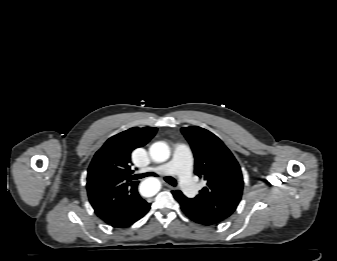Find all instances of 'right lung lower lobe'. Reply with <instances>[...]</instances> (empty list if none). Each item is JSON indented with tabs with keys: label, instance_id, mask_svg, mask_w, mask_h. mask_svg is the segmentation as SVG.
Segmentation results:
<instances>
[{
	"label": "right lung lower lobe",
	"instance_id": "right-lung-lower-lobe-1",
	"mask_svg": "<svg viewBox=\"0 0 337 261\" xmlns=\"http://www.w3.org/2000/svg\"><path fill=\"white\" fill-rule=\"evenodd\" d=\"M149 209H150V203H147L144 200V202L141 203V205L139 206L138 210H133L131 212H128L125 216L118 218L108 224L116 228L128 227L132 225L133 223H135L140 218H142L149 211Z\"/></svg>",
	"mask_w": 337,
	"mask_h": 261
}]
</instances>
